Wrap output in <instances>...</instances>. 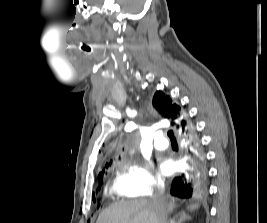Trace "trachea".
Segmentation results:
<instances>
[{
	"instance_id": "trachea-1",
	"label": "trachea",
	"mask_w": 267,
	"mask_h": 223,
	"mask_svg": "<svg viewBox=\"0 0 267 223\" xmlns=\"http://www.w3.org/2000/svg\"><path fill=\"white\" fill-rule=\"evenodd\" d=\"M168 137L170 138L171 142H175L176 139L174 137V133L172 130H169L168 133H167Z\"/></svg>"
}]
</instances>
